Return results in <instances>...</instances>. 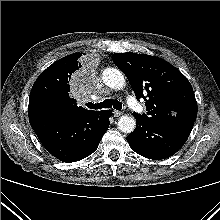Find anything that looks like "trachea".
<instances>
[{"label": "trachea", "mask_w": 220, "mask_h": 220, "mask_svg": "<svg viewBox=\"0 0 220 220\" xmlns=\"http://www.w3.org/2000/svg\"><path fill=\"white\" fill-rule=\"evenodd\" d=\"M86 106L90 109H103V108H111L113 107L116 110H121L122 109V103L116 99H106L101 103L93 104L91 102L86 103Z\"/></svg>", "instance_id": "1"}]
</instances>
